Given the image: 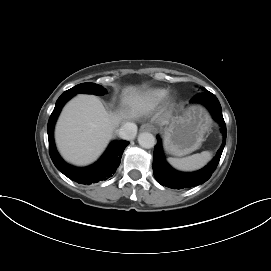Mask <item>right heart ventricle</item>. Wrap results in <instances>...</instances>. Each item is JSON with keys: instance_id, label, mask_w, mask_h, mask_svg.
Here are the masks:
<instances>
[{"instance_id": "e07e8e85", "label": "right heart ventricle", "mask_w": 271, "mask_h": 271, "mask_svg": "<svg viewBox=\"0 0 271 271\" xmlns=\"http://www.w3.org/2000/svg\"><path fill=\"white\" fill-rule=\"evenodd\" d=\"M167 96V90L163 88L148 89L130 100V106L135 111H147L154 108Z\"/></svg>"}]
</instances>
